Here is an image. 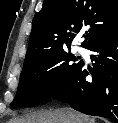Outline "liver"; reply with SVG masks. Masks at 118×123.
I'll return each instance as SVG.
<instances>
[{"label":"liver","mask_w":118,"mask_h":123,"mask_svg":"<svg viewBox=\"0 0 118 123\" xmlns=\"http://www.w3.org/2000/svg\"><path fill=\"white\" fill-rule=\"evenodd\" d=\"M8 123H95L93 118L81 114L72 108L64 107L49 111L30 112Z\"/></svg>","instance_id":"1"}]
</instances>
